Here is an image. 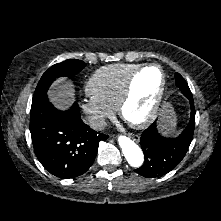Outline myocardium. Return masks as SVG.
Returning <instances> with one entry per match:
<instances>
[{
	"label": "myocardium",
	"mask_w": 221,
	"mask_h": 221,
	"mask_svg": "<svg viewBox=\"0 0 221 221\" xmlns=\"http://www.w3.org/2000/svg\"><path fill=\"white\" fill-rule=\"evenodd\" d=\"M148 68H157L159 70L160 75H161V84L156 94V97L154 99L153 105L150 109V112L147 114V116H145L143 119L138 120V121H131L126 117L125 109L133 97L135 79L138 77L139 74H141L144 70ZM165 89H166V75H165L163 68L159 64H156V63H149V64L141 65L130 75V77L127 80L123 94L116 107L119 116L125 122H127L130 126L134 128L139 129V128H144L148 126L155 120V118L158 115V112L160 110L162 100L164 97Z\"/></svg>",
	"instance_id": "obj_1"
}]
</instances>
